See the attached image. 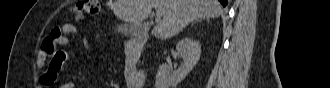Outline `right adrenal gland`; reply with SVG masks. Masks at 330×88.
Listing matches in <instances>:
<instances>
[{
    "label": "right adrenal gland",
    "instance_id": "obj_1",
    "mask_svg": "<svg viewBox=\"0 0 330 88\" xmlns=\"http://www.w3.org/2000/svg\"><path fill=\"white\" fill-rule=\"evenodd\" d=\"M204 19H206L207 21H209V18H204ZM202 19H197V20H195L193 23H195V22H197V21H201ZM192 23V24H193Z\"/></svg>",
    "mask_w": 330,
    "mask_h": 88
}]
</instances>
